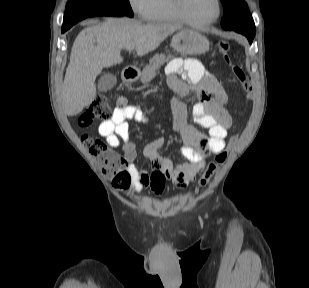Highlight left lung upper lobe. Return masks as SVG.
I'll return each instance as SVG.
<instances>
[{
    "label": "left lung upper lobe",
    "mask_w": 309,
    "mask_h": 288,
    "mask_svg": "<svg viewBox=\"0 0 309 288\" xmlns=\"http://www.w3.org/2000/svg\"><path fill=\"white\" fill-rule=\"evenodd\" d=\"M221 2L224 8L222 20L224 29H230L243 22L253 20L244 0H221Z\"/></svg>",
    "instance_id": "obj_1"
}]
</instances>
